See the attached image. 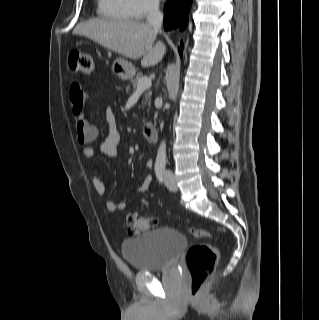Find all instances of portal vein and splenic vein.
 I'll return each instance as SVG.
<instances>
[{"mask_svg":"<svg viewBox=\"0 0 319 320\" xmlns=\"http://www.w3.org/2000/svg\"><path fill=\"white\" fill-rule=\"evenodd\" d=\"M151 85H152L151 79L148 77H143L139 80L137 89L144 90L151 87Z\"/></svg>","mask_w":319,"mask_h":320,"instance_id":"portal-vein-and-splenic-vein-1","label":"portal vein and splenic vein"}]
</instances>
